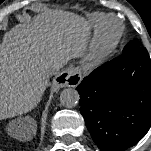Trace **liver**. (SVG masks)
I'll list each match as a JSON object with an SVG mask.
<instances>
[{
  "instance_id": "6515ba94",
  "label": "liver",
  "mask_w": 151,
  "mask_h": 151,
  "mask_svg": "<svg viewBox=\"0 0 151 151\" xmlns=\"http://www.w3.org/2000/svg\"><path fill=\"white\" fill-rule=\"evenodd\" d=\"M88 22L71 12L49 11L33 24H19L0 44V120L36 107L54 65L77 57L86 47ZM34 122L26 140L36 134Z\"/></svg>"
}]
</instances>
